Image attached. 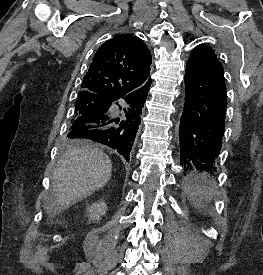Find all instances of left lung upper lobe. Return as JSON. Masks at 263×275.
<instances>
[{
  "label": "left lung upper lobe",
  "mask_w": 263,
  "mask_h": 275,
  "mask_svg": "<svg viewBox=\"0 0 263 275\" xmlns=\"http://www.w3.org/2000/svg\"><path fill=\"white\" fill-rule=\"evenodd\" d=\"M199 49H209V47L205 45H198L197 47H195L194 50H199Z\"/></svg>",
  "instance_id": "5c2ea615"
}]
</instances>
